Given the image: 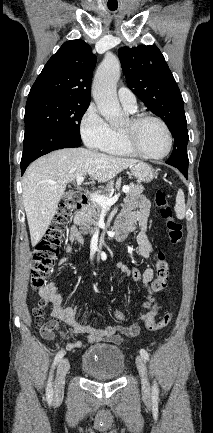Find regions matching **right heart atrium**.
Here are the masks:
<instances>
[{
  "mask_svg": "<svg viewBox=\"0 0 213 433\" xmlns=\"http://www.w3.org/2000/svg\"><path fill=\"white\" fill-rule=\"evenodd\" d=\"M111 127L95 105H90L80 120V134L84 143L92 149H102L109 141Z\"/></svg>",
  "mask_w": 213,
  "mask_h": 433,
  "instance_id": "right-heart-atrium-1",
  "label": "right heart atrium"
}]
</instances>
